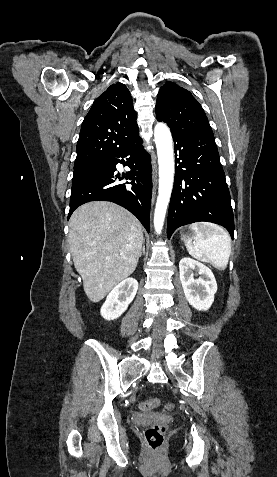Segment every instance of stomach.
<instances>
[{"label":"stomach","mask_w":277,"mask_h":477,"mask_svg":"<svg viewBox=\"0 0 277 477\" xmlns=\"http://www.w3.org/2000/svg\"><path fill=\"white\" fill-rule=\"evenodd\" d=\"M181 235H182V237L185 236V237H187V238H192L191 234H189L188 231H186V230H183V231L181 232Z\"/></svg>","instance_id":"obj_1"}]
</instances>
